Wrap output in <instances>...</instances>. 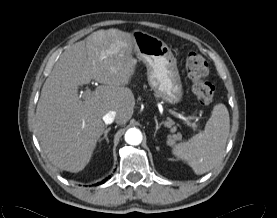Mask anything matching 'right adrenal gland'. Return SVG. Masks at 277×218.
<instances>
[{
	"label": "right adrenal gland",
	"mask_w": 277,
	"mask_h": 218,
	"mask_svg": "<svg viewBox=\"0 0 277 218\" xmlns=\"http://www.w3.org/2000/svg\"><path fill=\"white\" fill-rule=\"evenodd\" d=\"M110 130H111V128L109 127V128H107V129L104 131V136H103L101 139H99V142H101L103 139H105L106 142L109 143V139H108L107 135H108V132H109Z\"/></svg>",
	"instance_id": "right-adrenal-gland-1"
}]
</instances>
